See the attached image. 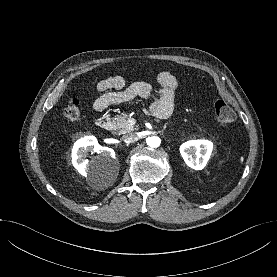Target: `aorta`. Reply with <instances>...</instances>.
I'll use <instances>...</instances> for the list:
<instances>
[{"label":"aorta","mask_w":277,"mask_h":277,"mask_svg":"<svg viewBox=\"0 0 277 277\" xmlns=\"http://www.w3.org/2000/svg\"><path fill=\"white\" fill-rule=\"evenodd\" d=\"M161 143V140L159 137L157 136H152V137H149L148 140H147V144L149 147H152V148H157L159 147Z\"/></svg>","instance_id":"aorta-1"}]
</instances>
